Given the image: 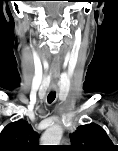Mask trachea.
I'll list each match as a JSON object with an SVG mask.
<instances>
[{"instance_id": "1", "label": "trachea", "mask_w": 118, "mask_h": 151, "mask_svg": "<svg viewBox=\"0 0 118 151\" xmlns=\"http://www.w3.org/2000/svg\"><path fill=\"white\" fill-rule=\"evenodd\" d=\"M56 94L55 93H49V95L47 96V101L49 103H52L55 100Z\"/></svg>"}]
</instances>
